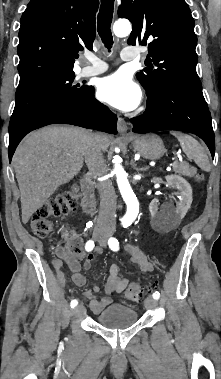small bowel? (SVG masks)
<instances>
[{
  "instance_id": "obj_1",
  "label": "small bowel",
  "mask_w": 221,
  "mask_h": 379,
  "mask_svg": "<svg viewBox=\"0 0 221 379\" xmlns=\"http://www.w3.org/2000/svg\"><path fill=\"white\" fill-rule=\"evenodd\" d=\"M126 251L130 255L131 261L138 265L143 273H149L152 271V263L148 260L147 256L137 246L128 244ZM100 253V249H95L94 253H90L83 267L89 270L95 259V255ZM59 259L54 261V267L56 268L60 283H65L64 275L62 272L63 263H66L72 272V280L77 286H83L86 282L85 276L81 273V264L76 256L69 254L65 249L58 250ZM129 285L127 278L122 276L121 268L117 264H112L109 268V276L104 288V296L101 299L96 298V293L100 291L98 285L92 286L84 292V297L89 300V306L93 313L98 314L103 309L108 307L112 303L111 294L122 293Z\"/></svg>"
}]
</instances>
